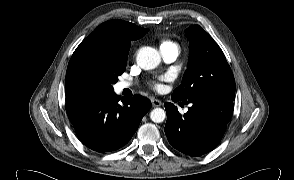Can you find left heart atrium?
Instances as JSON below:
<instances>
[{"label": "left heart atrium", "mask_w": 294, "mask_h": 180, "mask_svg": "<svg viewBox=\"0 0 294 180\" xmlns=\"http://www.w3.org/2000/svg\"><path fill=\"white\" fill-rule=\"evenodd\" d=\"M154 89L155 90H160L161 89V85L160 84H154Z\"/></svg>", "instance_id": "39dd6f15"}]
</instances>
